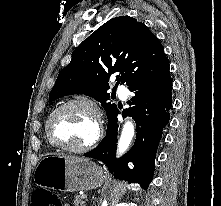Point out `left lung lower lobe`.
<instances>
[{"label": "left lung lower lobe", "mask_w": 221, "mask_h": 206, "mask_svg": "<svg viewBox=\"0 0 221 206\" xmlns=\"http://www.w3.org/2000/svg\"><path fill=\"white\" fill-rule=\"evenodd\" d=\"M171 90L169 68L130 89L132 98L128 103L131 107L123 112V116H132L136 122L137 136L134 146L120 159L115 158L117 110L105 138L84 156L101 160L117 178L138 182L147 188L153 177L154 159L162 130L170 118L168 111L172 105ZM129 161L134 164L132 170L127 166Z\"/></svg>", "instance_id": "1"}]
</instances>
